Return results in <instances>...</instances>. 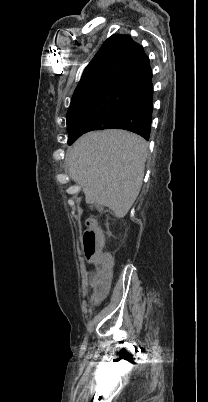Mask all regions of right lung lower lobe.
I'll return each mask as SVG.
<instances>
[{
  "label": "right lung lower lobe",
  "instance_id": "right-lung-lower-lobe-1",
  "mask_svg": "<svg viewBox=\"0 0 208 402\" xmlns=\"http://www.w3.org/2000/svg\"><path fill=\"white\" fill-rule=\"evenodd\" d=\"M119 93L120 110L106 116H91L82 121L68 122L69 134L109 128L126 129L149 139L153 111L152 71L143 48L112 81Z\"/></svg>",
  "mask_w": 208,
  "mask_h": 402
}]
</instances>
